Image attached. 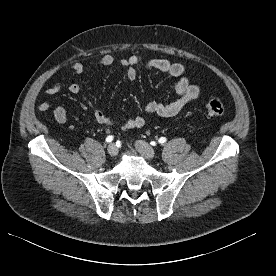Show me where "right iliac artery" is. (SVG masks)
<instances>
[{"mask_svg": "<svg viewBox=\"0 0 276 276\" xmlns=\"http://www.w3.org/2000/svg\"><path fill=\"white\" fill-rule=\"evenodd\" d=\"M113 136L112 135H109L107 138H106V142L109 143L113 140Z\"/></svg>", "mask_w": 276, "mask_h": 276, "instance_id": "1", "label": "right iliac artery"}]
</instances>
